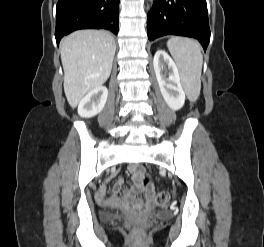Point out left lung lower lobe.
Masks as SVG:
<instances>
[{
	"label": "left lung lower lobe",
	"instance_id": "0a47b994",
	"mask_svg": "<svg viewBox=\"0 0 264 247\" xmlns=\"http://www.w3.org/2000/svg\"><path fill=\"white\" fill-rule=\"evenodd\" d=\"M147 32L150 41L165 35L196 38L206 50L210 41L206 0H154Z\"/></svg>",
	"mask_w": 264,
	"mask_h": 247
}]
</instances>
